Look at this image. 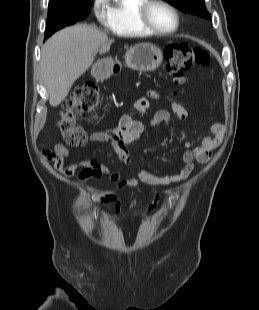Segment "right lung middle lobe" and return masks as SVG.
I'll use <instances>...</instances> for the list:
<instances>
[{
    "label": "right lung middle lobe",
    "mask_w": 259,
    "mask_h": 310,
    "mask_svg": "<svg viewBox=\"0 0 259 310\" xmlns=\"http://www.w3.org/2000/svg\"><path fill=\"white\" fill-rule=\"evenodd\" d=\"M91 0L84 3L48 6V16L44 39H47L57 30L75 24L84 19L90 12Z\"/></svg>",
    "instance_id": "1"
}]
</instances>
